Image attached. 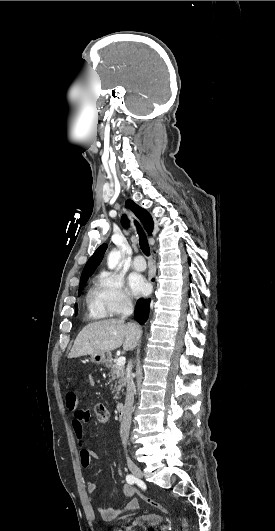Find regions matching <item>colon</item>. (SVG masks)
<instances>
[{
    "label": "colon",
    "instance_id": "colon-1",
    "mask_svg": "<svg viewBox=\"0 0 275 531\" xmlns=\"http://www.w3.org/2000/svg\"><path fill=\"white\" fill-rule=\"evenodd\" d=\"M95 412H96V416H97V418H98V420L100 422L106 423L108 421V410L105 407V405H103L101 403H97L96 407H95ZM135 490L137 491V488H135ZM137 494H140V491H137ZM145 500L149 504H151L152 506H155V507H159L160 506L159 502L154 500V499L145 498ZM183 530L184 531H189V524H188V522L186 520L184 521V524H183Z\"/></svg>",
    "mask_w": 275,
    "mask_h": 531
}]
</instances>
